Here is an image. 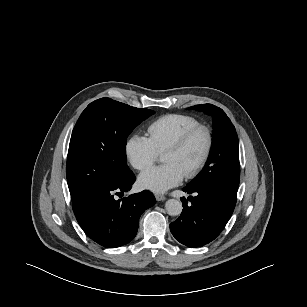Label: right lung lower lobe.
<instances>
[{
	"label": "right lung lower lobe",
	"instance_id": "obj_1",
	"mask_svg": "<svg viewBox=\"0 0 307 307\" xmlns=\"http://www.w3.org/2000/svg\"><path fill=\"white\" fill-rule=\"evenodd\" d=\"M134 182L135 175L129 171L104 188L72 201L79 225L101 246L116 248L129 243L137 233L141 214L156 203L147 190L116 199L115 195L130 190Z\"/></svg>",
	"mask_w": 307,
	"mask_h": 307
}]
</instances>
